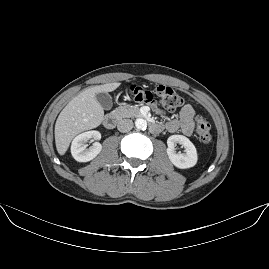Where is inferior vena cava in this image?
I'll return each mask as SVG.
<instances>
[{
	"label": "inferior vena cava",
	"instance_id": "1",
	"mask_svg": "<svg viewBox=\"0 0 269 269\" xmlns=\"http://www.w3.org/2000/svg\"><path fill=\"white\" fill-rule=\"evenodd\" d=\"M132 127H133V122L130 119H121L117 123V129L120 132H127V131L131 130Z\"/></svg>",
	"mask_w": 269,
	"mask_h": 269
}]
</instances>
